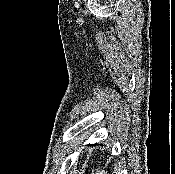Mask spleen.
I'll return each instance as SVG.
<instances>
[{"mask_svg":"<svg viewBox=\"0 0 175 174\" xmlns=\"http://www.w3.org/2000/svg\"><path fill=\"white\" fill-rule=\"evenodd\" d=\"M103 173H104V174H107V173H105L103 170L100 171L99 169H97L95 174H103ZM92 174H94V173H92Z\"/></svg>","mask_w":175,"mask_h":174,"instance_id":"spleen-1","label":"spleen"}]
</instances>
